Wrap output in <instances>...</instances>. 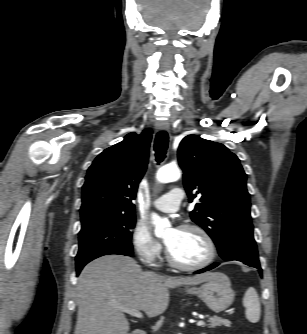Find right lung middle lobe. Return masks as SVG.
<instances>
[{
  "label": "right lung middle lobe",
  "instance_id": "dd1d6c3e",
  "mask_svg": "<svg viewBox=\"0 0 307 334\" xmlns=\"http://www.w3.org/2000/svg\"><path fill=\"white\" fill-rule=\"evenodd\" d=\"M135 222V215L101 213L81 217L76 267H83L103 255L123 252L131 256V229Z\"/></svg>",
  "mask_w": 307,
  "mask_h": 334
}]
</instances>
